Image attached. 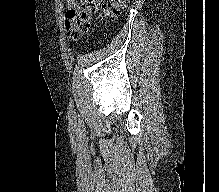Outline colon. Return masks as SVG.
<instances>
[{
  "label": "colon",
  "mask_w": 219,
  "mask_h": 192,
  "mask_svg": "<svg viewBox=\"0 0 219 192\" xmlns=\"http://www.w3.org/2000/svg\"><path fill=\"white\" fill-rule=\"evenodd\" d=\"M128 1L72 0V4L64 18L68 37L71 40H77L89 31L93 16L96 14H100L105 18L116 16L127 5Z\"/></svg>",
  "instance_id": "1"
}]
</instances>
